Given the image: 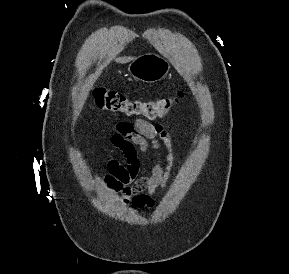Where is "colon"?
Wrapping results in <instances>:
<instances>
[{"instance_id": "1", "label": "colon", "mask_w": 289, "mask_h": 274, "mask_svg": "<svg viewBox=\"0 0 289 274\" xmlns=\"http://www.w3.org/2000/svg\"><path fill=\"white\" fill-rule=\"evenodd\" d=\"M95 105L101 110L121 112L129 116L157 119L168 115L184 97L182 90L176 95L156 100L133 99L126 94L110 89H97L93 94Z\"/></svg>"}]
</instances>
